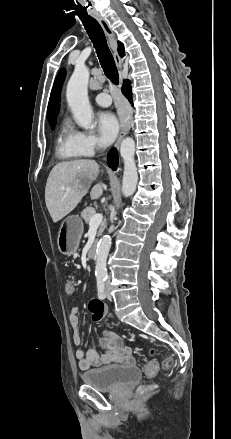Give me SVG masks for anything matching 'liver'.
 Instances as JSON below:
<instances>
[{
    "mask_svg": "<svg viewBox=\"0 0 231 439\" xmlns=\"http://www.w3.org/2000/svg\"><path fill=\"white\" fill-rule=\"evenodd\" d=\"M98 173V163L90 159L65 161L53 167L45 187V202L54 223L76 208ZM102 193L100 182L92 188L90 197L98 199Z\"/></svg>",
    "mask_w": 231,
    "mask_h": 439,
    "instance_id": "6515ba94",
    "label": "liver"
}]
</instances>
